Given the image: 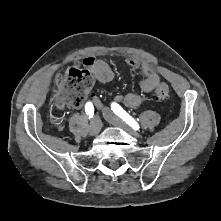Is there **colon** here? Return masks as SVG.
Here are the masks:
<instances>
[{"mask_svg":"<svg viewBox=\"0 0 221 221\" xmlns=\"http://www.w3.org/2000/svg\"><path fill=\"white\" fill-rule=\"evenodd\" d=\"M93 82V77L87 69L71 67L58 75L55 80L60 101L73 107L81 106ZM155 95L161 100L169 99V86L164 82L158 83L155 87Z\"/></svg>","mask_w":221,"mask_h":221,"instance_id":"5ec220e1","label":"colon"}]
</instances>
